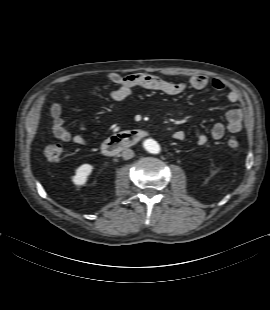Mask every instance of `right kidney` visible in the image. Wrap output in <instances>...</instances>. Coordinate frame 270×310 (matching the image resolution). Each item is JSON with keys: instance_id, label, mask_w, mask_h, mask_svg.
Instances as JSON below:
<instances>
[{"instance_id": "1", "label": "right kidney", "mask_w": 270, "mask_h": 310, "mask_svg": "<svg viewBox=\"0 0 270 310\" xmlns=\"http://www.w3.org/2000/svg\"><path fill=\"white\" fill-rule=\"evenodd\" d=\"M93 170V166L90 164H83L76 169V173L72 178L75 185H84Z\"/></svg>"}]
</instances>
